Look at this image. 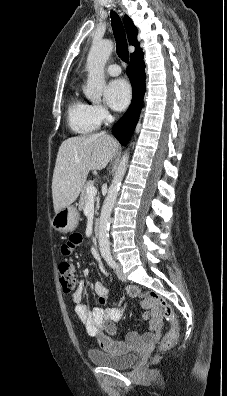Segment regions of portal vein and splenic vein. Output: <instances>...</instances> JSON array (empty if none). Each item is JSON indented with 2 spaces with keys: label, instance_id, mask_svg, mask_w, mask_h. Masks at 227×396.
<instances>
[{
  "label": "portal vein and splenic vein",
  "instance_id": "obj_1",
  "mask_svg": "<svg viewBox=\"0 0 227 396\" xmlns=\"http://www.w3.org/2000/svg\"><path fill=\"white\" fill-rule=\"evenodd\" d=\"M87 193H88V196H89V197H94V196L97 194V189L95 188V186L90 185V186L87 188Z\"/></svg>",
  "mask_w": 227,
  "mask_h": 396
}]
</instances>
